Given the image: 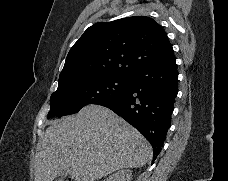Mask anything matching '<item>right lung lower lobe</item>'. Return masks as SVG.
Here are the masks:
<instances>
[{
    "mask_svg": "<svg viewBox=\"0 0 228 181\" xmlns=\"http://www.w3.org/2000/svg\"><path fill=\"white\" fill-rule=\"evenodd\" d=\"M177 93L178 72L172 51L135 72L124 93L102 106L138 129L151 143L155 159L171 124Z\"/></svg>",
    "mask_w": 228,
    "mask_h": 181,
    "instance_id": "right-lung-lower-lobe-1",
    "label": "right lung lower lobe"
}]
</instances>
